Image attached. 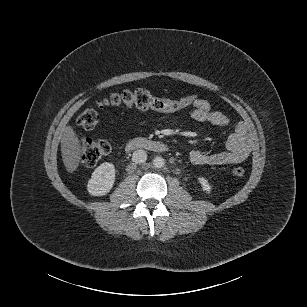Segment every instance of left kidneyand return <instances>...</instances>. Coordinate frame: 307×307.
<instances>
[{
	"mask_svg": "<svg viewBox=\"0 0 307 307\" xmlns=\"http://www.w3.org/2000/svg\"><path fill=\"white\" fill-rule=\"evenodd\" d=\"M198 180H199L200 184L202 185L203 191L210 193L211 186L209 185L208 181L203 177L198 178Z\"/></svg>",
	"mask_w": 307,
	"mask_h": 307,
	"instance_id": "5707ae66",
	"label": "left kidney"
}]
</instances>
